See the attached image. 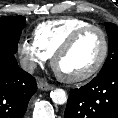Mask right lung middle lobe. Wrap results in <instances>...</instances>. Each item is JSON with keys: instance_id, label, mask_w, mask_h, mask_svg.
<instances>
[{"instance_id": "right-lung-middle-lobe-1", "label": "right lung middle lobe", "mask_w": 118, "mask_h": 118, "mask_svg": "<svg viewBox=\"0 0 118 118\" xmlns=\"http://www.w3.org/2000/svg\"><path fill=\"white\" fill-rule=\"evenodd\" d=\"M25 23L26 20L23 16L0 17V51L16 53Z\"/></svg>"}]
</instances>
